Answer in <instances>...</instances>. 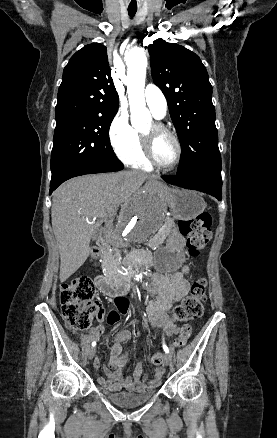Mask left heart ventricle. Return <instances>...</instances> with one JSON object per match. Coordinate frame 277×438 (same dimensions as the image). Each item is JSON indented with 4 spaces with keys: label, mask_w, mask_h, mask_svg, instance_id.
Instances as JSON below:
<instances>
[{
    "label": "left heart ventricle",
    "mask_w": 277,
    "mask_h": 438,
    "mask_svg": "<svg viewBox=\"0 0 277 438\" xmlns=\"http://www.w3.org/2000/svg\"><path fill=\"white\" fill-rule=\"evenodd\" d=\"M152 131V124H150L141 133L149 134ZM155 153L158 160L165 164L170 165L176 158L177 148L174 140L167 135H158L155 140Z\"/></svg>",
    "instance_id": "obj_1"
}]
</instances>
